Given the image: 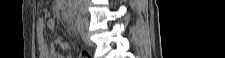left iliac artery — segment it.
Masks as SVG:
<instances>
[{
	"label": "left iliac artery",
	"mask_w": 225,
	"mask_h": 58,
	"mask_svg": "<svg viewBox=\"0 0 225 58\" xmlns=\"http://www.w3.org/2000/svg\"><path fill=\"white\" fill-rule=\"evenodd\" d=\"M77 30L79 32H83L84 31V24H83L81 19H78V21H77Z\"/></svg>",
	"instance_id": "obj_1"
}]
</instances>
